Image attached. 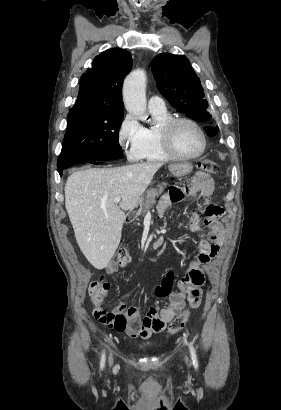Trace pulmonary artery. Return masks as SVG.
<instances>
[{
	"label": "pulmonary artery",
	"instance_id": "pulmonary-artery-1",
	"mask_svg": "<svg viewBox=\"0 0 281 410\" xmlns=\"http://www.w3.org/2000/svg\"><path fill=\"white\" fill-rule=\"evenodd\" d=\"M148 107L150 110H165V102L158 95H152L148 100Z\"/></svg>",
	"mask_w": 281,
	"mask_h": 410
}]
</instances>
